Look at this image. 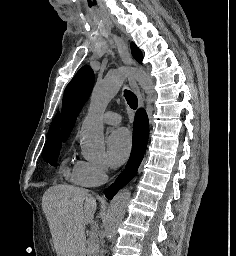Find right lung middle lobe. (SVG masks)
I'll use <instances>...</instances> for the list:
<instances>
[{
	"label": "right lung middle lobe",
	"instance_id": "dd1d6c3e",
	"mask_svg": "<svg viewBox=\"0 0 236 256\" xmlns=\"http://www.w3.org/2000/svg\"><path fill=\"white\" fill-rule=\"evenodd\" d=\"M61 148V141L58 142H46L43 149V159L45 162L54 166L57 162Z\"/></svg>",
	"mask_w": 236,
	"mask_h": 256
}]
</instances>
